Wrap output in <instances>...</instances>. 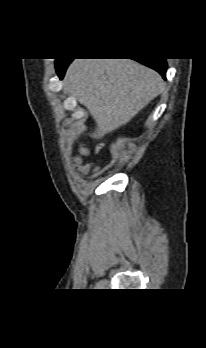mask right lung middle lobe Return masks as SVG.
Segmentation results:
<instances>
[{"mask_svg": "<svg viewBox=\"0 0 206 348\" xmlns=\"http://www.w3.org/2000/svg\"><path fill=\"white\" fill-rule=\"evenodd\" d=\"M60 62V59H56V64H58Z\"/></svg>", "mask_w": 206, "mask_h": 348, "instance_id": "right-lung-middle-lobe-1", "label": "right lung middle lobe"}]
</instances>
